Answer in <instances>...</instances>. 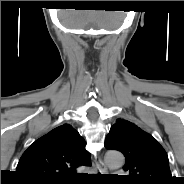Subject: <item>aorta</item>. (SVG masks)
<instances>
[{"label":"aorta","mask_w":184,"mask_h":184,"mask_svg":"<svg viewBox=\"0 0 184 184\" xmlns=\"http://www.w3.org/2000/svg\"><path fill=\"white\" fill-rule=\"evenodd\" d=\"M105 162L111 169H118L124 164V156L118 151H108L105 155Z\"/></svg>","instance_id":"762f6f07"}]
</instances>
